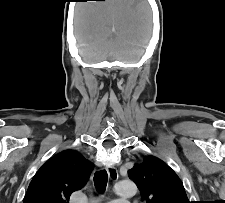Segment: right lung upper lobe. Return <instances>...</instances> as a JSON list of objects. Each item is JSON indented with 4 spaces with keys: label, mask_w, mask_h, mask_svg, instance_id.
<instances>
[{
    "label": "right lung upper lobe",
    "mask_w": 225,
    "mask_h": 203,
    "mask_svg": "<svg viewBox=\"0 0 225 203\" xmlns=\"http://www.w3.org/2000/svg\"><path fill=\"white\" fill-rule=\"evenodd\" d=\"M93 164L74 150L51 157L33 177L23 203H68L70 195L81 189Z\"/></svg>",
    "instance_id": "cb5924a9"
}]
</instances>
